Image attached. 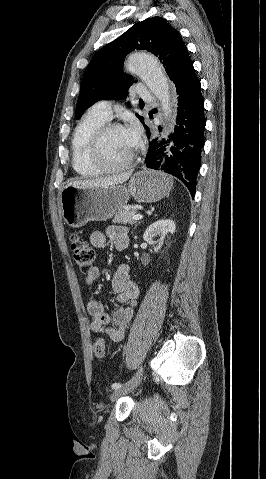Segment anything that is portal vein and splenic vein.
<instances>
[{"instance_id": "18ae733b", "label": "portal vein and splenic vein", "mask_w": 266, "mask_h": 479, "mask_svg": "<svg viewBox=\"0 0 266 479\" xmlns=\"http://www.w3.org/2000/svg\"><path fill=\"white\" fill-rule=\"evenodd\" d=\"M142 218H143V216L141 214H135V215L132 216L133 220H140Z\"/></svg>"}]
</instances>
